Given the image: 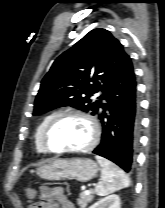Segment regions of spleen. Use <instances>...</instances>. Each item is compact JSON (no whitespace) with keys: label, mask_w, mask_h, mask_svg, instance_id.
Listing matches in <instances>:
<instances>
[{"label":"spleen","mask_w":165,"mask_h":208,"mask_svg":"<svg viewBox=\"0 0 165 208\" xmlns=\"http://www.w3.org/2000/svg\"><path fill=\"white\" fill-rule=\"evenodd\" d=\"M95 158L102 168L101 180L95 187L97 195L106 196L130 185L129 178L122 169L101 156Z\"/></svg>","instance_id":"obj_1"}]
</instances>
